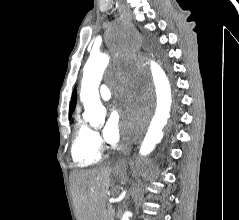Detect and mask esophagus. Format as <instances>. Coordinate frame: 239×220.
<instances>
[{"label":"esophagus","instance_id":"34e87169","mask_svg":"<svg viewBox=\"0 0 239 220\" xmlns=\"http://www.w3.org/2000/svg\"><path fill=\"white\" fill-rule=\"evenodd\" d=\"M117 7H118V9H119L120 12L123 10L120 1L117 2ZM128 151H129V149H127V152H128ZM124 165H125V158H120V159L116 162V164L114 165V168H113V169H114L115 171H119V170H121V169L124 168Z\"/></svg>","mask_w":239,"mask_h":220}]
</instances>
